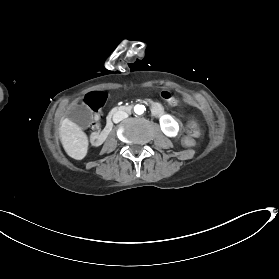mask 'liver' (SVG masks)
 Instances as JSON below:
<instances>
[{"label":"liver","mask_w":279,"mask_h":279,"mask_svg":"<svg viewBox=\"0 0 279 279\" xmlns=\"http://www.w3.org/2000/svg\"><path fill=\"white\" fill-rule=\"evenodd\" d=\"M59 136L66 153L76 160L83 159L88 150V138L74 122L65 118L61 121Z\"/></svg>","instance_id":"liver-1"}]
</instances>
